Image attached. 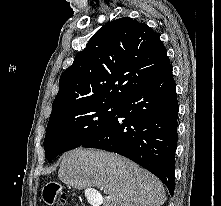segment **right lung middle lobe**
<instances>
[{
	"instance_id": "right-lung-middle-lobe-1",
	"label": "right lung middle lobe",
	"mask_w": 221,
	"mask_h": 206,
	"mask_svg": "<svg viewBox=\"0 0 221 206\" xmlns=\"http://www.w3.org/2000/svg\"><path fill=\"white\" fill-rule=\"evenodd\" d=\"M118 106L112 103H92L51 115L44 139L48 162L94 137L114 119Z\"/></svg>"
}]
</instances>
